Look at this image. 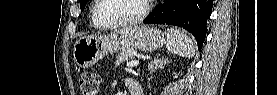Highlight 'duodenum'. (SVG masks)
<instances>
[{
	"label": "duodenum",
	"instance_id": "1",
	"mask_svg": "<svg viewBox=\"0 0 277 95\" xmlns=\"http://www.w3.org/2000/svg\"><path fill=\"white\" fill-rule=\"evenodd\" d=\"M129 95H140L142 94V87H141V84L135 80V79H132L130 82H129Z\"/></svg>",
	"mask_w": 277,
	"mask_h": 95
}]
</instances>
